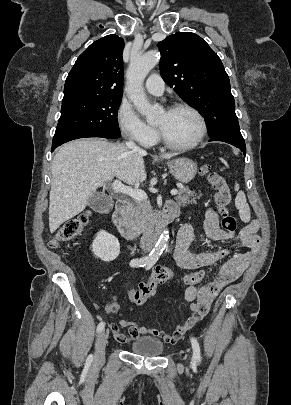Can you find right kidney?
Listing matches in <instances>:
<instances>
[{"label":"right kidney","instance_id":"1","mask_svg":"<svg viewBox=\"0 0 291 405\" xmlns=\"http://www.w3.org/2000/svg\"><path fill=\"white\" fill-rule=\"evenodd\" d=\"M92 251L94 255L104 262L115 260L120 253V244L118 239L102 230L97 233L93 244Z\"/></svg>","mask_w":291,"mask_h":405}]
</instances>
